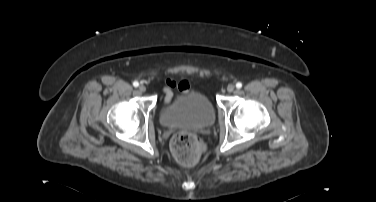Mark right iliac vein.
Returning a JSON list of instances; mask_svg holds the SVG:
<instances>
[{
  "label": "right iliac vein",
  "mask_w": 376,
  "mask_h": 202,
  "mask_svg": "<svg viewBox=\"0 0 376 202\" xmlns=\"http://www.w3.org/2000/svg\"><path fill=\"white\" fill-rule=\"evenodd\" d=\"M139 92L143 93L146 91V87L144 85H140L138 88Z\"/></svg>",
  "instance_id": "obj_1"
}]
</instances>
